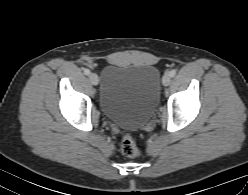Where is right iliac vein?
<instances>
[{
    "label": "right iliac vein",
    "instance_id": "obj_1",
    "mask_svg": "<svg viewBox=\"0 0 248 195\" xmlns=\"http://www.w3.org/2000/svg\"><path fill=\"white\" fill-rule=\"evenodd\" d=\"M89 79H90V81H91V83H92L93 85H97L98 82H99V78H98V75H97L96 73H91V74L89 75Z\"/></svg>",
    "mask_w": 248,
    "mask_h": 195
}]
</instances>
